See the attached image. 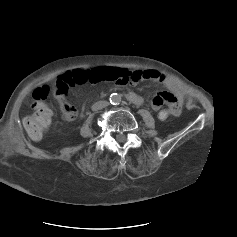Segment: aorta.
<instances>
[{
	"label": "aorta",
	"instance_id": "obj_1",
	"mask_svg": "<svg viewBox=\"0 0 237 237\" xmlns=\"http://www.w3.org/2000/svg\"><path fill=\"white\" fill-rule=\"evenodd\" d=\"M109 100H110L111 104L117 105V104H119L121 102V96L119 94H117V93H112L110 95Z\"/></svg>",
	"mask_w": 237,
	"mask_h": 237
}]
</instances>
